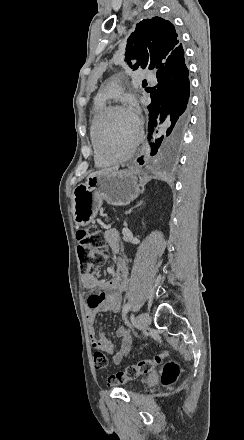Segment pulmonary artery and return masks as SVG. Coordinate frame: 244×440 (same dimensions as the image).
Wrapping results in <instances>:
<instances>
[{"label": "pulmonary artery", "mask_w": 244, "mask_h": 440, "mask_svg": "<svg viewBox=\"0 0 244 440\" xmlns=\"http://www.w3.org/2000/svg\"><path fill=\"white\" fill-rule=\"evenodd\" d=\"M109 90H102L96 93L95 100L96 102H107L108 99H118L119 92L117 89L116 83H109L108 84Z\"/></svg>", "instance_id": "obj_1"}]
</instances>
